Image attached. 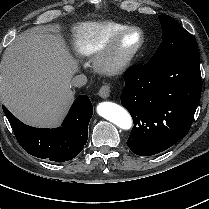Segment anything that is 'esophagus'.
Instances as JSON below:
<instances>
[{
  "label": "esophagus",
  "mask_w": 209,
  "mask_h": 209,
  "mask_svg": "<svg viewBox=\"0 0 209 209\" xmlns=\"http://www.w3.org/2000/svg\"><path fill=\"white\" fill-rule=\"evenodd\" d=\"M110 92H111L110 86L106 84L100 88L98 95L103 99H107L110 96Z\"/></svg>",
  "instance_id": "obj_1"
}]
</instances>
